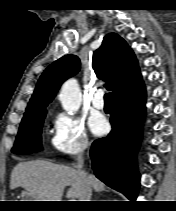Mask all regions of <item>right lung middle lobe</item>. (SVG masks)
Wrapping results in <instances>:
<instances>
[{
	"instance_id": "1",
	"label": "right lung middle lobe",
	"mask_w": 176,
	"mask_h": 211,
	"mask_svg": "<svg viewBox=\"0 0 176 211\" xmlns=\"http://www.w3.org/2000/svg\"><path fill=\"white\" fill-rule=\"evenodd\" d=\"M46 111L22 119L19 132L12 148L16 154H29L42 150L41 130Z\"/></svg>"
}]
</instances>
